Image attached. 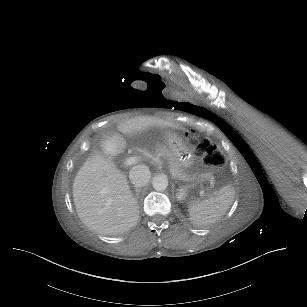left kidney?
I'll return each mask as SVG.
<instances>
[{
  "mask_svg": "<svg viewBox=\"0 0 307 307\" xmlns=\"http://www.w3.org/2000/svg\"><path fill=\"white\" fill-rule=\"evenodd\" d=\"M186 193L183 190H180L178 193V198L185 197Z\"/></svg>",
  "mask_w": 307,
  "mask_h": 307,
  "instance_id": "obj_1",
  "label": "left kidney"
}]
</instances>
